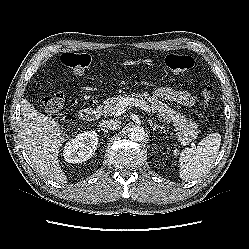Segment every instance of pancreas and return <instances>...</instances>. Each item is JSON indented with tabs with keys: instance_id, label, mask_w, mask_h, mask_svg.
<instances>
[{
	"instance_id": "obj_1",
	"label": "pancreas",
	"mask_w": 249,
	"mask_h": 249,
	"mask_svg": "<svg viewBox=\"0 0 249 249\" xmlns=\"http://www.w3.org/2000/svg\"><path fill=\"white\" fill-rule=\"evenodd\" d=\"M131 96H136L142 100L145 99L146 103L150 105L152 111L156 113L160 119L167 122H173V126L176 128L175 131L177 132L178 141L183 145L189 144L197 138L198 125L192 121H188L184 115L177 113L155 96H150L147 92L142 94L133 93ZM127 98H129L127 95L107 98L104 101V105L100 107V110L104 115L117 116L116 105Z\"/></svg>"
}]
</instances>
